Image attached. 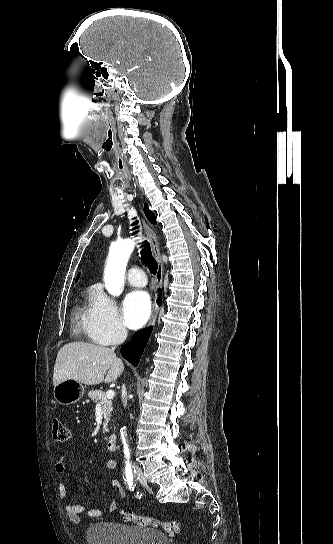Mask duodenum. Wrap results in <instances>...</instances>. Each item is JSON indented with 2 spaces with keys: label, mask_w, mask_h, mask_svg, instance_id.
Listing matches in <instances>:
<instances>
[{
  "label": "duodenum",
  "mask_w": 333,
  "mask_h": 544,
  "mask_svg": "<svg viewBox=\"0 0 333 544\" xmlns=\"http://www.w3.org/2000/svg\"><path fill=\"white\" fill-rule=\"evenodd\" d=\"M107 449L110 452H115L117 449V436L116 435H110L107 440Z\"/></svg>",
  "instance_id": "duodenum-1"
}]
</instances>
